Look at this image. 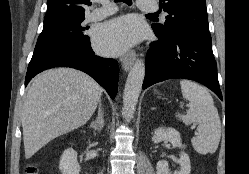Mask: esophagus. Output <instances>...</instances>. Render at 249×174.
<instances>
[{
  "mask_svg": "<svg viewBox=\"0 0 249 174\" xmlns=\"http://www.w3.org/2000/svg\"><path fill=\"white\" fill-rule=\"evenodd\" d=\"M136 53L131 51L128 54H126L125 56H122L120 58V62L122 64V68L124 71H129L130 68L132 67V65L134 64L135 60H136Z\"/></svg>",
  "mask_w": 249,
  "mask_h": 174,
  "instance_id": "esophagus-1",
  "label": "esophagus"
}]
</instances>
